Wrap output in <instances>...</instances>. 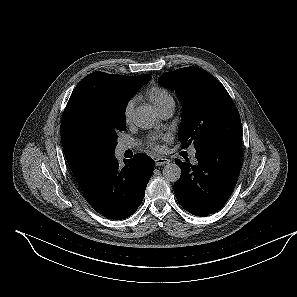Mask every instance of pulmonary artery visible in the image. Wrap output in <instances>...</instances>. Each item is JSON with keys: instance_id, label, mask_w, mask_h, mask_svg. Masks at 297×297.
<instances>
[{"instance_id": "pulmonary-artery-1", "label": "pulmonary artery", "mask_w": 297, "mask_h": 297, "mask_svg": "<svg viewBox=\"0 0 297 297\" xmlns=\"http://www.w3.org/2000/svg\"><path fill=\"white\" fill-rule=\"evenodd\" d=\"M174 109H175V103L174 101H170L169 103H167L164 107H162L159 111L160 115L163 118H169L173 115L174 113ZM136 147L135 143H130V142H126V143H122L119 147L121 152H125L126 150H130ZM191 161L193 163L196 162V158H195V150H193L191 152Z\"/></svg>"}]
</instances>
